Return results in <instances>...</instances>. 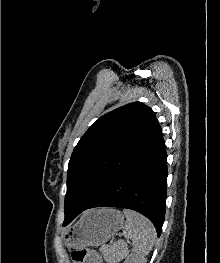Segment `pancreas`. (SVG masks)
<instances>
[{
	"mask_svg": "<svg viewBox=\"0 0 220 263\" xmlns=\"http://www.w3.org/2000/svg\"><path fill=\"white\" fill-rule=\"evenodd\" d=\"M122 250L123 246L121 243H116L112 246H104L100 248L105 260H107L109 263H115L116 260L121 259L123 257L121 254Z\"/></svg>",
	"mask_w": 220,
	"mask_h": 263,
	"instance_id": "cf45deb5",
	"label": "pancreas"
}]
</instances>
